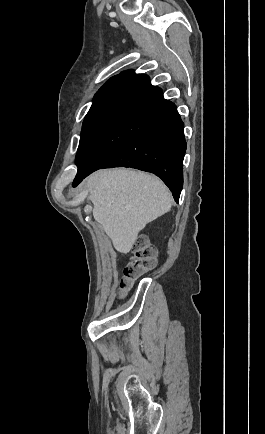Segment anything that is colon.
I'll list each match as a JSON object with an SVG mask.
<instances>
[{
    "label": "colon",
    "mask_w": 265,
    "mask_h": 434,
    "mask_svg": "<svg viewBox=\"0 0 265 434\" xmlns=\"http://www.w3.org/2000/svg\"><path fill=\"white\" fill-rule=\"evenodd\" d=\"M155 266V248L148 245L144 238H138L135 242L131 259L121 273L117 285L118 294L124 296L135 279L144 276Z\"/></svg>",
    "instance_id": "obj_1"
}]
</instances>
